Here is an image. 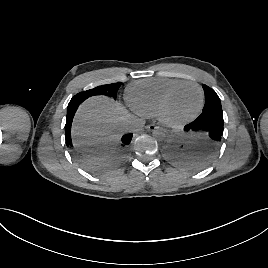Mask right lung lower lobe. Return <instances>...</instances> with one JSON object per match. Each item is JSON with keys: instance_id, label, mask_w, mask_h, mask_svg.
Here are the masks:
<instances>
[{"instance_id": "98d812e1", "label": "right lung lower lobe", "mask_w": 268, "mask_h": 268, "mask_svg": "<svg viewBox=\"0 0 268 268\" xmlns=\"http://www.w3.org/2000/svg\"><path fill=\"white\" fill-rule=\"evenodd\" d=\"M84 100H77V101H70L67 107V116H66V125H65V140H66V145L67 147H69L70 149L73 150L74 154L77 157H80L81 155L76 152L73 148L72 145V140H71V124H72V120L73 117L75 115V112L78 108V106L83 102ZM132 140V133H128L123 135V137L121 138L117 150L114 153V156L112 158V161L109 164H105V165H86L87 168H89L91 171L96 172V173H100L103 172L105 170H108L111 167H114L116 165H118L126 156L127 152H128V148H129V144Z\"/></svg>"}]
</instances>
